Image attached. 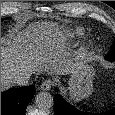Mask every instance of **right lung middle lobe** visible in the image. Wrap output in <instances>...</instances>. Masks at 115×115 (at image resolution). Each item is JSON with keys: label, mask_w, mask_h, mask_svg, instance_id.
I'll list each match as a JSON object with an SVG mask.
<instances>
[{"label": "right lung middle lobe", "mask_w": 115, "mask_h": 115, "mask_svg": "<svg viewBox=\"0 0 115 115\" xmlns=\"http://www.w3.org/2000/svg\"><path fill=\"white\" fill-rule=\"evenodd\" d=\"M5 20L4 18H1V21Z\"/></svg>", "instance_id": "obj_1"}]
</instances>
